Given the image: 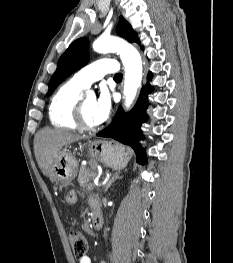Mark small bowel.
Here are the masks:
<instances>
[{"mask_svg": "<svg viewBox=\"0 0 233 263\" xmlns=\"http://www.w3.org/2000/svg\"><path fill=\"white\" fill-rule=\"evenodd\" d=\"M75 200H76V198H75L74 194L69 195V197H68L69 202H75ZM92 203H95V201H92L91 204ZM78 263H92V260L89 256H85L84 258L80 259L78 261ZM102 263H105V262H102Z\"/></svg>", "mask_w": 233, "mask_h": 263, "instance_id": "1", "label": "small bowel"}]
</instances>
